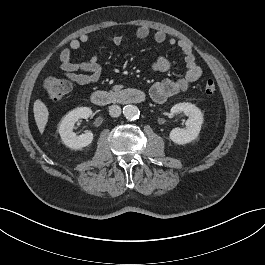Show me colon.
<instances>
[{
	"instance_id": "colon-1",
	"label": "colon",
	"mask_w": 265,
	"mask_h": 265,
	"mask_svg": "<svg viewBox=\"0 0 265 265\" xmlns=\"http://www.w3.org/2000/svg\"><path fill=\"white\" fill-rule=\"evenodd\" d=\"M44 89L52 101L62 100L70 91V84L63 79L49 77L44 82ZM204 91L207 95H212L216 92V84L208 80L204 85Z\"/></svg>"
}]
</instances>
